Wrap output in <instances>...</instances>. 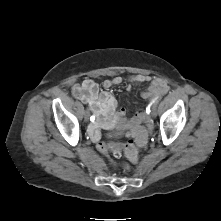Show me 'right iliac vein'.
<instances>
[{
	"mask_svg": "<svg viewBox=\"0 0 221 221\" xmlns=\"http://www.w3.org/2000/svg\"><path fill=\"white\" fill-rule=\"evenodd\" d=\"M88 118H89V111L86 110L85 113H84V119H85V121H88Z\"/></svg>",
	"mask_w": 221,
	"mask_h": 221,
	"instance_id": "1",
	"label": "right iliac vein"
}]
</instances>
